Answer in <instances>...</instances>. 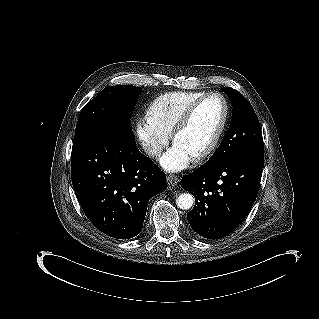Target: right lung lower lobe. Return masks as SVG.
<instances>
[{
    "label": "right lung lower lobe",
    "mask_w": 319,
    "mask_h": 319,
    "mask_svg": "<svg viewBox=\"0 0 319 319\" xmlns=\"http://www.w3.org/2000/svg\"><path fill=\"white\" fill-rule=\"evenodd\" d=\"M71 178L87 218L117 239L139 234L150 198L166 189L165 174L138 150L134 135L120 132L74 141Z\"/></svg>",
    "instance_id": "right-lung-lower-lobe-1"
}]
</instances>
